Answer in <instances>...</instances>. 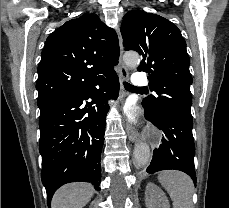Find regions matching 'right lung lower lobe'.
<instances>
[{
  "label": "right lung lower lobe",
  "instance_id": "1",
  "mask_svg": "<svg viewBox=\"0 0 229 208\" xmlns=\"http://www.w3.org/2000/svg\"><path fill=\"white\" fill-rule=\"evenodd\" d=\"M118 93L119 80L115 73L39 117L41 179L49 208L54 192L65 183L91 182L100 190L107 102L109 98L116 99ZM86 99L92 101L84 102Z\"/></svg>",
  "mask_w": 229,
  "mask_h": 208
}]
</instances>
